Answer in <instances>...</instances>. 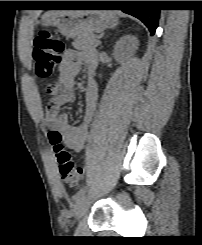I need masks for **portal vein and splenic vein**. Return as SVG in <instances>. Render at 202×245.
<instances>
[{
  "instance_id": "portal-vein-and-splenic-vein-1",
  "label": "portal vein and splenic vein",
  "mask_w": 202,
  "mask_h": 245,
  "mask_svg": "<svg viewBox=\"0 0 202 245\" xmlns=\"http://www.w3.org/2000/svg\"><path fill=\"white\" fill-rule=\"evenodd\" d=\"M97 43H98V44H101V41H100V39H97Z\"/></svg>"
}]
</instances>
